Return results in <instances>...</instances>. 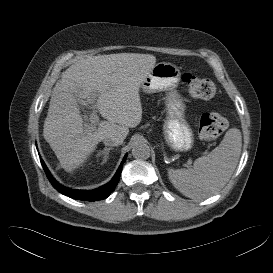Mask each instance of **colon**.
Segmentation results:
<instances>
[{
  "label": "colon",
  "instance_id": "5ec220e1",
  "mask_svg": "<svg viewBox=\"0 0 273 273\" xmlns=\"http://www.w3.org/2000/svg\"><path fill=\"white\" fill-rule=\"evenodd\" d=\"M182 81L194 98L210 99L216 94V86L210 79L184 74ZM226 128V119L218 113L208 112L203 114L200 119L199 133L205 140L218 138L224 133Z\"/></svg>",
  "mask_w": 273,
  "mask_h": 273
}]
</instances>
